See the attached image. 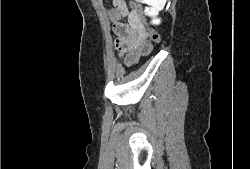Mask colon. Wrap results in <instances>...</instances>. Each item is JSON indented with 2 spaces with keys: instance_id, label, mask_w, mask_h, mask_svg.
Segmentation results:
<instances>
[{
  "instance_id": "5ec220e1",
  "label": "colon",
  "mask_w": 250,
  "mask_h": 169,
  "mask_svg": "<svg viewBox=\"0 0 250 169\" xmlns=\"http://www.w3.org/2000/svg\"><path fill=\"white\" fill-rule=\"evenodd\" d=\"M136 2V3H135ZM139 1L138 0H130V6L131 8L134 10V13L136 15H139V19H140V23H145V18H141L140 15H144L145 14V11L143 10V5L142 3H138ZM114 5L120 9L121 11L123 12H126V7H125V4L123 1L121 0H116ZM149 27L151 26L150 24L148 25ZM151 30L149 32L143 30V29H139L138 30V38L140 39L141 42H145L147 37H150L153 42H155V44H162V39H160V36L158 35V33L155 32V30H152L153 28L151 27L150 28ZM117 31L120 32V33H123L126 30V27L123 26V25H118L117 26Z\"/></svg>"
}]
</instances>
